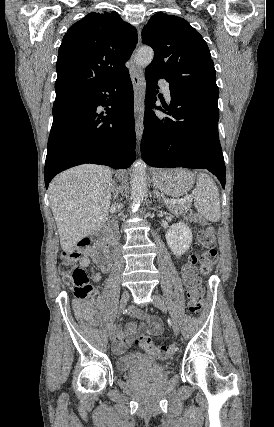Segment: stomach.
Instances as JSON below:
<instances>
[{
    "mask_svg": "<svg viewBox=\"0 0 274 427\" xmlns=\"http://www.w3.org/2000/svg\"><path fill=\"white\" fill-rule=\"evenodd\" d=\"M155 188L171 198L185 196L194 184V174L189 170L175 168V170H151Z\"/></svg>",
    "mask_w": 274,
    "mask_h": 427,
    "instance_id": "obj_1",
    "label": "stomach"
}]
</instances>
